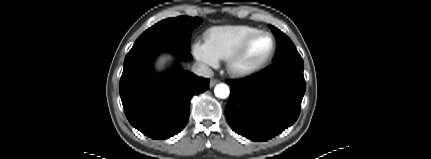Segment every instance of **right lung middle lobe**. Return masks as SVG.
Masks as SVG:
<instances>
[{"mask_svg":"<svg viewBox=\"0 0 431 159\" xmlns=\"http://www.w3.org/2000/svg\"><path fill=\"white\" fill-rule=\"evenodd\" d=\"M200 24L201 19L198 17L180 16L162 20L146 30L133 46L153 41H164L190 49L191 33Z\"/></svg>","mask_w":431,"mask_h":159,"instance_id":"1","label":"right lung middle lobe"}]
</instances>
